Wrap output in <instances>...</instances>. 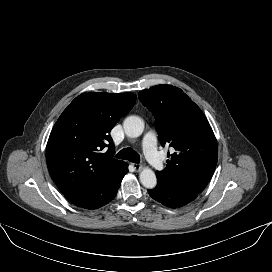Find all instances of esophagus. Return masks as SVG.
Segmentation results:
<instances>
[{
  "mask_svg": "<svg viewBox=\"0 0 272 272\" xmlns=\"http://www.w3.org/2000/svg\"><path fill=\"white\" fill-rule=\"evenodd\" d=\"M132 167L134 168L135 171H140L142 169V165L138 163H132Z\"/></svg>",
  "mask_w": 272,
  "mask_h": 272,
  "instance_id": "1",
  "label": "esophagus"
}]
</instances>
